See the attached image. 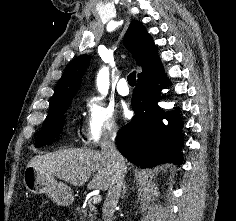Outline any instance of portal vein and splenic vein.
<instances>
[{"mask_svg": "<svg viewBox=\"0 0 236 221\" xmlns=\"http://www.w3.org/2000/svg\"><path fill=\"white\" fill-rule=\"evenodd\" d=\"M101 201V196L100 195H95L92 197V203L97 204Z\"/></svg>", "mask_w": 236, "mask_h": 221, "instance_id": "obj_1", "label": "portal vein and splenic vein"}]
</instances>
